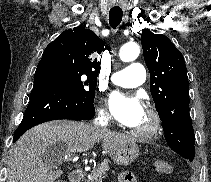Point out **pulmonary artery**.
<instances>
[{"label": "pulmonary artery", "mask_w": 211, "mask_h": 182, "mask_svg": "<svg viewBox=\"0 0 211 182\" xmlns=\"http://www.w3.org/2000/svg\"><path fill=\"white\" fill-rule=\"evenodd\" d=\"M145 67L140 63H132L128 67L112 74L111 81L122 87H136L144 83Z\"/></svg>", "instance_id": "pulmonary-artery-1"}]
</instances>
